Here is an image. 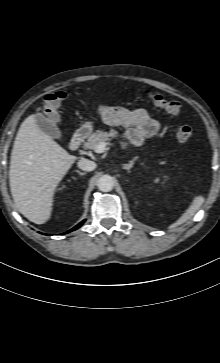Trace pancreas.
Masks as SVG:
<instances>
[{
  "mask_svg": "<svg viewBox=\"0 0 220 363\" xmlns=\"http://www.w3.org/2000/svg\"><path fill=\"white\" fill-rule=\"evenodd\" d=\"M118 136V132L115 129H111L109 132L97 131L90 135L87 142H85L84 147L88 149L94 150V148L101 142H105L109 139V137ZM127 143H121L122 149H125Z\"/></svg>",
  "mask_w": 220,
  "mask_h": 363,
  "instance_id": "obj_1",
  "label": "pancreas"
}]
</instances>
